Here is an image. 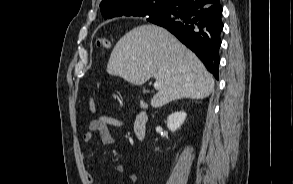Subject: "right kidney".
<instances>
[{
  "instance_id": "1",
  "label": "right kidney",
  "mask_w": 293,
  "mask_h": 184,
  "mask_svg": "<svg viewBox=\"0 0 293 184\" xmlns=\"http://www.w3.org/2000/svg\"><path fill=\"white\" fill-rule=\"evenodd\" d=\"M187 114L184 111L175 112L168 116L167 127L171 132H175L181 127L186 119Z\"/></svg>"
}]
</instances>
